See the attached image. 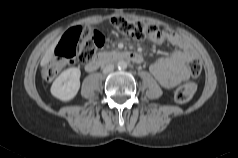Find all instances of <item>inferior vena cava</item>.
I'll return each instance as SVG.
<instances>
[{
    "label": "inferior vena cava",
    "mask_w": 238,
    "mask_h": 158,
    "mask_svg": "<svg viewBox=\"0 0 238 158\" xmlns=\"http://www.w3.org/2000/svg\"><path fill=\"white\" fill-rule=\"evenodd\" d=\"M113 69H114V65L113 64H108L104 67L103 72L104 73H109V72L113 71Z\"/></svg>",
    "instance_id": "602c4592"
}]
</instances>
